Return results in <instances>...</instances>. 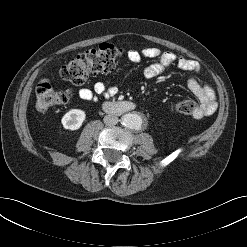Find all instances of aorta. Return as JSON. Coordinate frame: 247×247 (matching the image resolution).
<instances>
[{"mask_svg":"<svg viewBox=\"0 0 247 247\" xmlns=\"http://www.w3.org/2000/svg\"><path fill=\"white\" fill-rule=\"evenodd\" d=\"M121 123L129 129L138 130L142 127L143 120L138 114L128 113L122 116Z\"/></svg>","mask_w":247,"mask_h":247,"instance_id":"obj_1","label":"aorta"}]
</instances>
